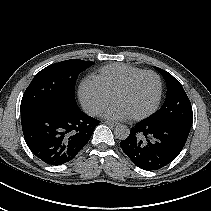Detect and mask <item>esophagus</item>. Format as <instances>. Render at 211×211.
I'll use <instances>...</instances> for the list:
<instances>
[{"label":"esophagus","instance_id":"34e87169","mask_svg":"<svg viewBox=\"0 0 211 211\" xmlns=\"http://www.w3.org/2000/svg\"><path fill=\"white\" fill-rule=\"evenodd\" d=\"M104 123H105L106 125H108V126H111V127H114V126L117 125V123L111 122V121H105Z\"/></svg>","mask_w":211,"mask_h":211}]
</instances>
